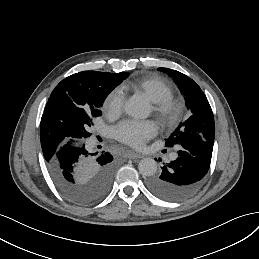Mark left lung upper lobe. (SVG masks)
I'll return each instance as SVG.
<instances>
[{
	"mask_svg": "<svg viewBox=\"0 0 259 259\" xmlns=\"http://www.w3.org/2000/svg\"><path fill=\"white\" fill-rule=\"evenodd\" d=\"M159 70L173 78L184 96L186 106L191 113L190 117L185 122L180 123L176 130L166 139L165 146L168 148H178L187 139L188 133H198L203 139L214 142L213 113L200 87L195 81L179 71L168 68H159Z\"/></svg>",
	"mask_w": 259,
	"mask_h": 259,
	"instance_id": "left-lung-upper-lobe-1",
	"label": "left lung upper lobe"
}]
</instances>
